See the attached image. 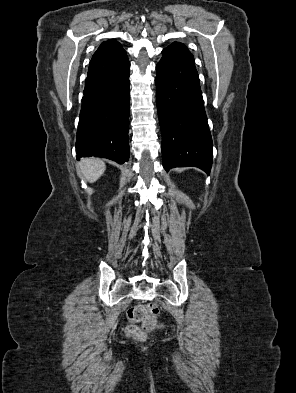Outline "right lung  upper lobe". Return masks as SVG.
<instances>
[{
    "instance_id": "right-lung-upper-lobe-1",
    "label": "right lung upper lobe",
    "mask_w": 296,
    "mask_h": 393,
    "mask_svg": "<svg viewBox=\"0 0 296 393\" xmlns=\"http://www.w3.org/2000/svg\"><path fill=\"white\" fill-rule=\"evenodd\" d=\"M107 46H121V44L118 43V42L115 41V40H108V41L103 42V43L99 46L98 49L104 48V47H107Z\"/></svg>"
}]
</instances>
